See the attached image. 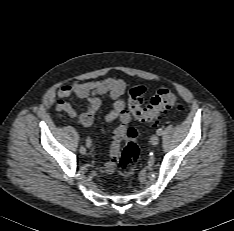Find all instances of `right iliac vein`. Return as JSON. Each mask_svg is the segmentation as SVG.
I'll return each mask as SVG.
<instances>
[{"instance_id":"63e3f726","label":"right iliac vein","mask_w":234,"mask_h":231,"mask_svg":"<svg viewBox=\"0 0 234 231\" xmlns=\"http://www.w3.org/2000/svg\"><path fill=\"white\" fill-rule=\"evenodd\" d=\"M79 152L81 154H86V148L85 147H80Z\"/></svg>"}]
</instances>
